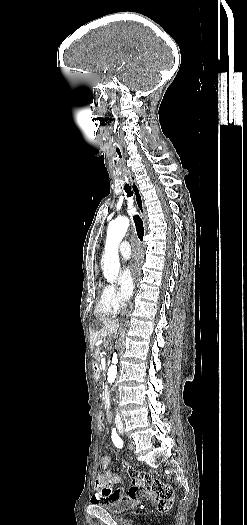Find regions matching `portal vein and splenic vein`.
Listing matches in <instances>:
<instances>
[{
	"label": "portal vein and splenic vein",
	"mask_w": 247,
	"mask_h": 525,
	"mask_svg": "<svg viewBox=\"0 0 247 525\" xmlns=\"http://www.w3.org/2000/svg\"><path fill=\"white\" fill-rule=\"evenodd\" d=\"M99 370H102V365L98 364Z\"/></svg>",
	"instance_id": "portal-vein-and-splenic-vein-1"
}]
</instances>
